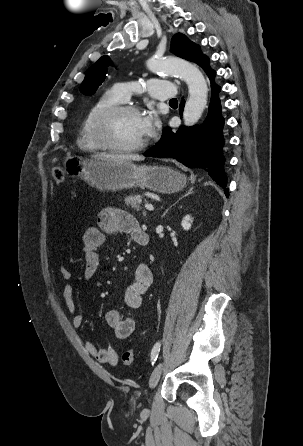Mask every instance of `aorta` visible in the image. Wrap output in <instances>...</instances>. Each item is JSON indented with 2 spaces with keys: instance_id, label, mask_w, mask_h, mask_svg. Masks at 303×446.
Here are the masks:
<instances>
[{
  "instance_id": "obj_1",
  "label": "aorta",
  "mask_w": 303,
  "mask_h": 446,
  "mask_svg": "<svg viewBox=\"0 0 303 446\" xmlns=\"http://www.w3.org/2000/svg\"><path fill=\"white\" fill-rule=\"evenodd\" d=\"M147 66L154 73L176 75L186 82L189 98L184 107L183 120L186 126L196 124L207 105L208 95L206 80L198 67L180 59H150Z\"/></svg>"
}]
</instances>
